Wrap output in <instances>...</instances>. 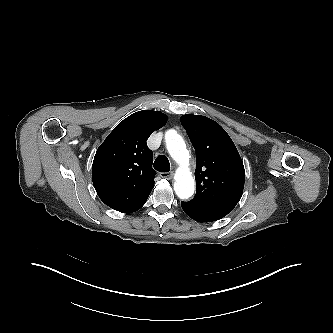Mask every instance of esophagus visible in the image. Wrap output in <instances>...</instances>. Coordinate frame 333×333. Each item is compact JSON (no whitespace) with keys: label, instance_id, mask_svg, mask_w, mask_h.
Returning <instances> with one entry per match:
<instances>
[{"label":"esophagus","instance_id":"34e87169","mask_svg":"<svg viewBox=\"0 0 333 333\" xmlns=\"http://www.w3.org/2000/svg\"><path fill=\"white\" fill-rule=\"evenodd\" d=\"M173 175H174L173 172H162V173H160L161 178H165V179H168V180L172 179Z\"/></svg>","mask_w":333,"mask_h":333}]
</instances>
